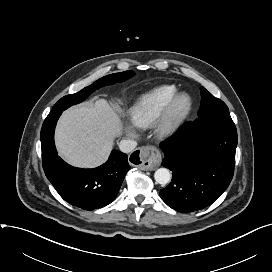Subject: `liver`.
Here are the masks:
<instances>
[{"mask_svg":"<svg viewBox=\"0 0 272 272\" xmlns=\"http://www.w3.org/2000/svg\"><path fill=\"white\" fill-rule=\"evenodd\" d=\"M121 133L118 110L99 98L64 111L56 127L55 142L69 164L93 168L107 160L115 137Z\"/></svg>","mask_w":272,"mask_h":272,"instance_id":"liver-1","label":"liver"}]
</instances>
